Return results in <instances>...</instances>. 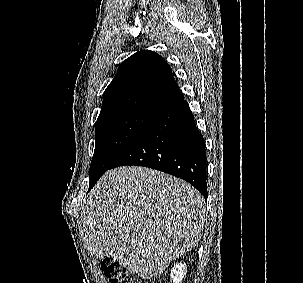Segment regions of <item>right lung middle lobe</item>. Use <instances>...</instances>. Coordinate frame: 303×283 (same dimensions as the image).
<instances>
[{
	"label": "right lung middle lobe",
	"instance_id": "dd1d6c3e",
	"mask_svg": "<svg viewBox=\"0 0 303 283\" xmlns=\"http://www.w3.org/2000/svg\"><path fill=\"white\" fill-rule=\"evenodd\" d=\"M155 119L147 114H122L96 122V143L90 165L89 190Z\"/></svg>",
	"mask_w": 303,
	"mask_h": 283
}]
</instances>
